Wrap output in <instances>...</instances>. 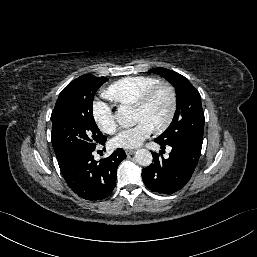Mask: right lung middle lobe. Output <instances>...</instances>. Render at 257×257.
Returning <instances> with one entry per match:
<instances>
[{
	"instance_id": "1",
	"label": "right lung middle lobe",
	"mask_w": 257,
	"mask_h": 257,
	"mask_svg": "<svg viewBox=\"0 0 257 257\" xmlns=\"http://www.w3.org/2000/svg\"><path fill=\"white\" fill-rule=\"evenodd\" d=\"M107 80L85 74L60 93L51 114V138L58 161L75 151H92L106 141L94 121L92 103L96 91Z\"/></svg>"
}]
</instances>
